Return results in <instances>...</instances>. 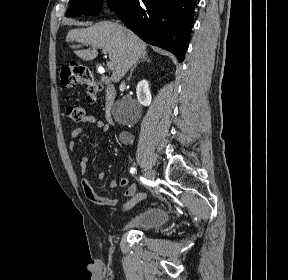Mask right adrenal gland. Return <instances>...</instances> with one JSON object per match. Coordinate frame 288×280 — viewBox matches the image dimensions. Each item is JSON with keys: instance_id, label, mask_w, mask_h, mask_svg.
Returning a JSON list of instances; mask_svg holds the SVG:
<instances>
[{"instance_id": "right-adrenal-gland-1", "label": "right adrenal gland", "mask_w": 288, "mask_h": 280, "mask_svg": "<svg viewBox=\"0 0 288 280\" xmlns=\"http://www.w3.org/2000/svg\"><path fill=\"white\" fill-rule=\"evenodd\" d=\"M143 61L149 63V62H150V58H149L147 55H144V56H142V57L140 58L139 61H137L136 63H134V65L132 66V68H131V70H130V74H129L128 79H130V78L132 77L133 71H134V69L137 67V65H138L140 62H143Z\"/></svg>"}]
</instances>
